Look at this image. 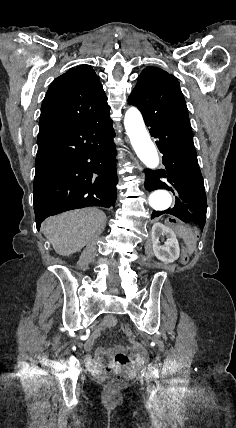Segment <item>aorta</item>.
I'll list each match as a JSON object with an SVG mask.
<instances>
[{"mask_svg":"<svg viewBox=\"0 0 236 428\" xmlns=\"http://www.w3.org/2000/svg\"><path fill=\"white\" fill-rule=\"evenodd\" d=\"M124 126L131 144L138 158L143 164L155 170L159 165V156L154 143L151 141L140 111L130 107L124 117ZM172 197L166 190L154 191L149 196L150 206L158 212L164 211L171 206Z\"/></svg>","mask_w":236,"mask_h":428,"instance_id":"obj_1","label":"aorta"}]
</instances>
